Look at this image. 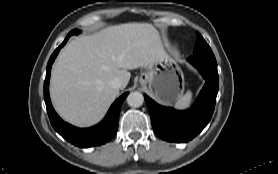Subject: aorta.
Returning <instances> with one entry per match:
<instances>
[{
    "instance_id": "1",
    "label": "aorta",
    "mask_w": 278,
    "mask_h": 174,
    "mask_svg": "<svg viewBox=\"0 0 278 174\" xmlns=\"http://www.w3.org/2000/svg\"><path fill=\"white\" fill-rule=\"evenodd\" d=\"M143 102H144V97L138 91L131 92L127 96V103L131 107H134V108L140 107L143 104Z\"/></svg>"
}]
</instances>
